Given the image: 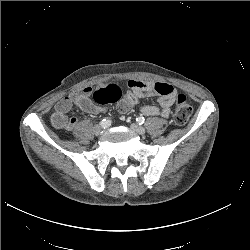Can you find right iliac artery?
Segmentation results:
<instances>
[{
    "label": "right iliac artery",
    "instance_id": "right-iliac-artery-1",
    "mask_svg": "<svg viewBox=\"0 0 250 250\" xmlns=\"http://www.w3.org/2000/svg\"><path fill=\"white\" fill-rule=\"evenodd\" d=\"M100 125L103 127V128H106L108 126L111 125V120L109 119H103L101 122H100Z\"/></svg>",
    "mask_w": 250,
    "mask_h": 250
}]
</instances>
